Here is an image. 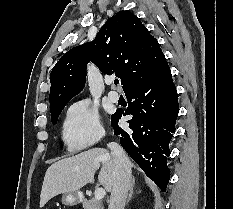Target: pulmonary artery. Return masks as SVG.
Masks as SVG:
<instances>
[{"instance_id": "obj_1", "label": "pulmonary artery", "mask_w": 233, "mask_h": 209, "mask_svg": "<svg viewBox=\"0 0 233 209\" xmlns=\"http://www.w3.org/2000/svg\"><path fill=\"white\" fill-rule=\"evenodd\" d=\"M109 85L112 84L111 81L108 82ZM108 98L112 101V102H118L119 100V94L116 91H110L108 92Z\"/></svg>"}]
</instances>
